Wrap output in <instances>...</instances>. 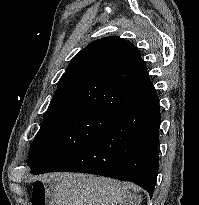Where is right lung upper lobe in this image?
Listing matches in <instances>:
<instances>
[{"instance_id":"obj_1","label":"right lung upper lobe","mask_w":199,"mask_h":205,"mask_svg":"<svg viewBox=\"0 0 199 205\" xmlns=\"http://www.w3.org/2000/svg\"><path fill=\"white\" fill-rule=\"evenodd\" d=\"M148 81L138 48L122 38L105 37L72 58L47 112L92 107L121 118L143 103L129 85Z\"/></svg>"}]
</instances>
